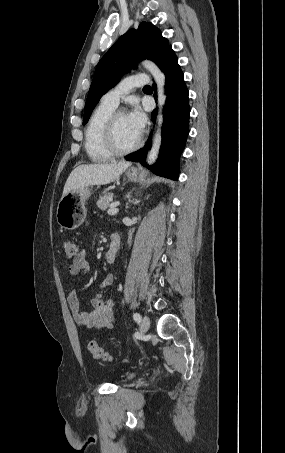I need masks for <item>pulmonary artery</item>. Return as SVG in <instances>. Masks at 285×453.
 Returning a JSON list of instances; mask_svg holds the SVG:
<instances>
[{"instance_id": "1", "label": "pulmonary artery", "mask_w": 285, "mask_h": 453, "mask_svg": "<svg viewBox=\"0 0 285 453\" xmlns=\"http://www.w3.org/2000/svg\"><path fill=\"white\" fill-rule=\"evenodd\" d=\"M148 83V76L143 73L134 74L124 78L118 85L104 94L102 100L111 106L117 107L120 98L128 94L133 88Z\"/></svg>"}]
</instances>
